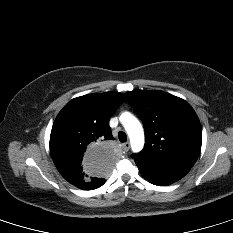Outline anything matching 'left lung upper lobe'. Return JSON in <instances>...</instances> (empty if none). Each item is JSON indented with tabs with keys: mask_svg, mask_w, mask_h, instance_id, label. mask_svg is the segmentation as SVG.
<instances>
[{
	"mask_svg": "<svg viewBox=\"0 0 233 233\" xmlns=\"http://www.w3.org/2000/svg\"><path fill=\"white\" fill-rule=\"evenodd\" d=\"M126 96L145 128V147L132 157L154 165L191 168L202 144V129L193 108L160 90H134Z\"/></svg>",
	"mask_w": 233,
	"mask_h": 233,
	"instance_id": "1",
	"label": "left lung upper lobe"
}]
</instances>
